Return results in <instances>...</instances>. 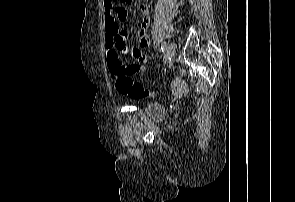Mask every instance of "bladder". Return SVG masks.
Wrapping results in <instances>:
<instances>
[{"mask_svg": "<svg viewBox=\"0 0 295 202\" xmlns=\"http://www.w3.org/2000/svg\"><path fill=\"white\" fill-rule=\"evenodd\" d=\"M144 113L150 119L162 120L166 116V109L159 102H149L144 108Z\"/></svg>", "mask_w": 295, "mask_h": 202, "instance_id": "1", "label": "bladder"}]
</instances>
